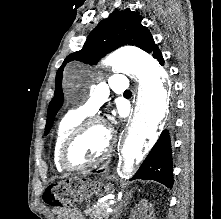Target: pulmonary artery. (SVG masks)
<instances>
[{
    "label": "pulmonary artery",
    "mask_w": 221,
    "mask_h": 219,
    "mask_svg": "<svg viewBox=\"0 0 221 219\" xmlns=\"http://www.w3.org/2000/svg\"><path fill=\"white\" fill-rule=\"evenodd\" d=\"M110 90L122 95L128 91V79L125 75L116 74L106 83L99 84L89 95L88 99L77 109L85 114H94L107 100Z\"/></svg>",
    "instance_id": "e3ab8cb5"
}]
</instances>
